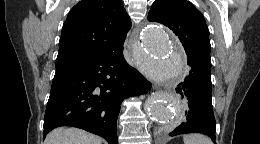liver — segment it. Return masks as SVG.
Listing matches in <instances>:
<instances>
[{
  "instance_id": "liver-1",
  "label": "liver",
  "mask_w": 260,
  "mask_h": 144,
  "mask_svg": "<svg viewBox=\"0 0 260 144\" xmlns=\"http://www.w3.org/2000/svg\"><path fill=\"white\" fill-rule=\"evenodd\" d=\"M101 139L76 128H57L51 131L45 144H101Z\"/></svg>"
}]
</instances>
